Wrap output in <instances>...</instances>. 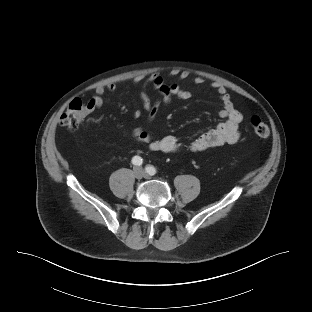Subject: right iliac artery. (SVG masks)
<instances>
[{
	"mask_svg": "<svg viewBox=\"0 0 312 312\" xmlns=\"http://www.w3.org/2000/svg\"><path fill=\"white\" fill-rule=\"evenodd\" d=\"M132 163L136 166H140L143 164V159L140 156H134L132 158Z\"/></svg>",
	"mask_w": 312,
	"mask_h": 312,
	"instance_id": "right-iliac-artery-1",
	"label": "right iliac artery"
}]
</instances>
